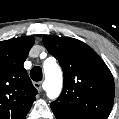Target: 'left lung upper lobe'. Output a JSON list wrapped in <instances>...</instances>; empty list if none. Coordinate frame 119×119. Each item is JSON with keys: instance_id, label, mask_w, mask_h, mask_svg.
Instances as JSON below:
<instances>
[{"instance_id": "obj_1", "label": "left lung upper lobe", "mask_w": 119, "mask_h": 119, "mask_svg": "<svg viewBox=\"0 0 119 119\" xmlns=\"http://www.w3.org/2000/svg\"><path fill=\"white\" fill-rule=\"evenodd\" d=\"M43 43L64 73L63 91L51 103L52 110L107 119L115 85L104 61L87 44L74 38L47 35Z\"/></svg>"}]
</instances>
